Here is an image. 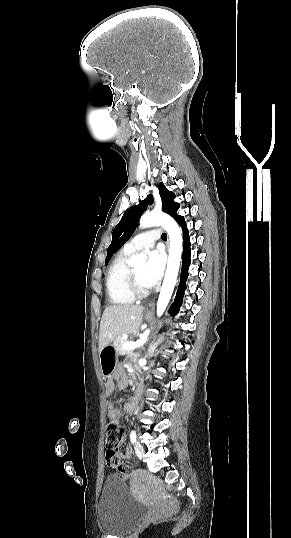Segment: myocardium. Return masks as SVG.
I'll use <instances>...</instances> for the list:
<instances>
[{"mask_svg":"<svg viewBox=\"0 0 291 538\" xmlns=\"http://www.w3.org/2000/svg\"><path fill=\"white\" fill-rule=\"evenodd\" d=\"M127 284H128V289H129L130 293L135 298H138V299L145 298L150 294V289L149 288L145 289L140 285L137 277L134 274L133 269L129 270L128 278H127Z\"/></svg>","mask_w":291,"mask_h":538,"instance_id":"f54148a6","label":"myocardium"}]
</instances>
